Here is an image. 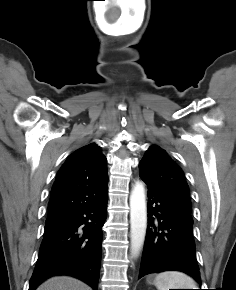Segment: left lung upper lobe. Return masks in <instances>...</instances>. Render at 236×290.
Here are the masks:
<instances>
[{"label":"left lung upper lobe","instance_id":"5c2ea615","mask_svg":"<svg viewBox=\"0 0 236 290\" xmlns=\"http://www.w3.org/2000/svg\"><path fill=\"white\" fill-rule=\"evenodd\" d=\"M139 174L148 187L170 193L191 210L189 188L184 174L165 150L151 146L139 163Z\"/></svg>","mask_w":236,"mask_h":290}]
</instances>
